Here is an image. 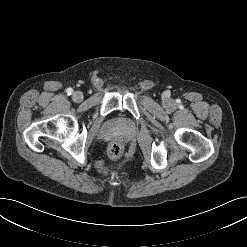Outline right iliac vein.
I'll return each mask as SVG.
<instances>
[{"mask_svg": "<svg viewBox=\"0 0 247 247\" xmlns=\"http://www.w3.org/2000/svg\"><path fill=\"white\" fill-rule=\"evenodd\" d=\"M72 99L75 102H81L83 100V93L80 91H75L72 95Z\"/></svg>", "mask_w": 247, "mask_h": 247, "instance_id": "63e3f726", "label": "right iliac vein"}]
</instances>
